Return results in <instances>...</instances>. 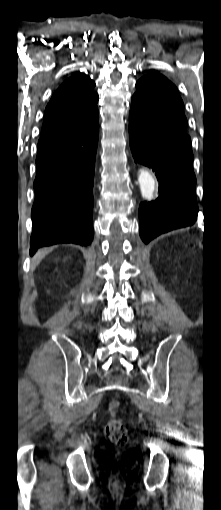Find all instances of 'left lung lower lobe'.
<instances>
[{
  "label": "left lung lower lobe",
  "instance_id": "obj_1",
  "mask_svg": "<svg viewBox=\"0 0 221 510\" xmlns=\"http://www.w3.org/2000/svg\"><path fill=\"white\" fill-rule=\"evenodd\" d=\"M129 141L134 160L152 169L159 196L139 207L140 236L148 243L168 231L190 226L197 217L191 147L173 139L131 107Z\"/></svg>",
  "mask_w": 221,
  "mask_h": 510
}]
</instances>
